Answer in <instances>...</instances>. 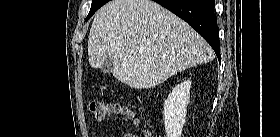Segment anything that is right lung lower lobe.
<instances>
[{
  "label": "right lung lower lobe",
  "mask_w": 280,
  "mask_h": 137,
  "mask_svg": "<svg viewBox=\"0 0 280 137\" xmlns=\"http://www.w3.org/2000/svg\"><path fill=\"white\" fill-rule=\"evenodd\" d=\"M193 27L213 48L219 61L220 41L214 0H153Z\"/></svg>",
  "instance_id": "1"
}]
</instances>
